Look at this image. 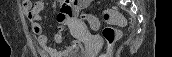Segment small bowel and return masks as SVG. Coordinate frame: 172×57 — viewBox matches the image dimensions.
Masks as SVG:
<instances>
[{
  "label": "small bowel",
  "instance_id": "1",
  "mask_svg": "<svg viewBox=\"0 0 172 57\" xmlns=\"http://www.w3.org/2000/svg\"><path fill=\"white\" fill-rule=\"evenodd\" d=\"M89 1H64L60 11L57 13L58 30L53 36V42L61 44L63 41V30L69 22H73V15L69 13L72 6L87 5ZM44 1L38 0L34 3L26 0L23 2L27 21L31 27L33 34L37 38L40 52L45 57H67L69 54L78 51L81 43L78 40H72L69 44L62 45L59 50L55 49L49 42L40 21L42 19L41 12L44 9Z\"/></svg>",
  "mask_w": 172,
  "mask_h": 57
}]
</instances>
